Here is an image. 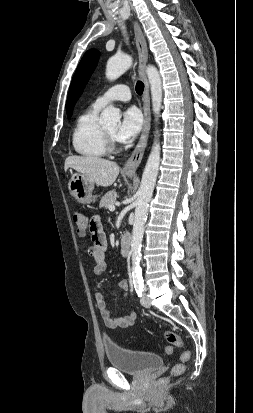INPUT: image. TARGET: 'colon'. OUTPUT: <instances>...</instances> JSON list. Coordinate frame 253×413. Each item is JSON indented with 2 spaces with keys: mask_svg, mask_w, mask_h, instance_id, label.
<instances>
[{
  "mask_svg": "<svg viewBox=\"0 0 253 413\" xmlns=\"http://www.w3.org/2000/svg\"><path fill=\"white\" fill-rule=\"evenodd\" d=\"M72 220L74 224L77 227V231L80 235H85L87 231H89V223L87 218L85 217L84 214H82L80 211L74 210L72 212ZM166 341L170 344V346H167L165 348L166 353H171L172 352V347H178L181 348L183 347V340L182 338L176 334L172 330H167L164 333ZM190 359V353L188 351H185L181 354V363H178L174 365L171 369V376L176 377L179 376L180 374L183 373L184 368H185V363ZM167 381L166 379L162 380V383H165Z\"/></svg>",
  "mask_w": 253,
  "mask_h": 413,
  "instance_id": "1",
  "label": "colon"
}]
</instances>
